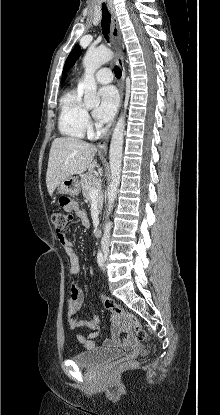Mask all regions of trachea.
<instances>
[{
  "label": "trachea",
  "instance_id": "obj_1",
  "mask_svg": "<svg viewBox=\"0 0 220 415\" xmlns=\"http://www.w3.org/2000/svg\"><path fill=\"white\" fill-rule=\"evenodd\" d=\"M110 21H111V16L109 11L107 10L106 6L103 5L102 6V21H101V26H102V32L104 37L106 38V40H109V30H110ZM114 73L116 78H120L122 75V72L120 70V68L118 66H115L114 68Z\"/></svg>",
  "mask_w": 220,
  "mask_h": 415
}]
</instances>
